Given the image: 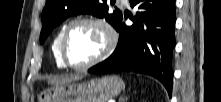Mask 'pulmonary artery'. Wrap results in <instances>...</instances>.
I'll list each match as a JSON object with an SVG mask.
<instances>
[{"mask_svg": "<svg viewBox=\"0 0 221 102\" xmlns=\"http://www.w3.org/2000/svg\"><path fill=\"white\" fill-rule=\"evenodd\" d=\"M122 1V3H124V4H127L128 3V0H121Z\"/></svg>", "mask_w": 221, "mask_h": 102, "instance_id": "e3ab8cb5", "label": "pulmonary artery"}]
</instances>
